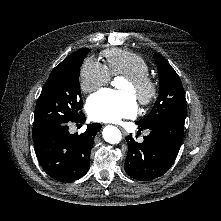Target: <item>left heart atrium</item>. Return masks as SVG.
Here are the masks:
<instances>
[{
    "label": "left heart atrium",
    "instance_id": "1",
    "mask_svg": "<svg viewBox=\"0 0 221 221\" xmlns=\"http://www.w3.org/2000/svg\"><path fill=\"white\" fill-rule=\"evenodd\" d=\"M86 110L94 121L118 122L136 114L137 101L130 92L103 89L88 98Z\"/></svg>",
    "mask_w": 221,
    "mask_h": 221
}]
</instances>
